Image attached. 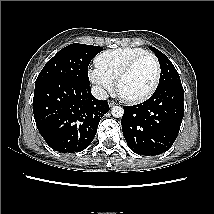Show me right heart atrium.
<instances>
[{"instance_id":"d8ad5b80","label":"right heart atrium","mask_w":214,"mask_h":214,"mask_svg":"<svg viewBox=\"0 0 214 214\" xmlns=\"http://www.w3.org/2000/svg\"><path fill=\"white\" fill-rule=\"evenodd\" d=\"M88 76L90 81L103 93L111 91L114 87L115 82L97 68L90 69Z\"/></svg>"}]
</instances>
